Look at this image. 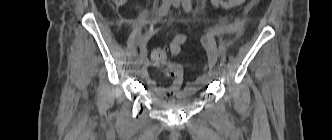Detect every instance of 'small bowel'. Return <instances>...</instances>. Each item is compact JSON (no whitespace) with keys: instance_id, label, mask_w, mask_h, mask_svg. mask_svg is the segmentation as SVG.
I'll list each match as a JSON object with an SVG mask.
<instances>
[{"instance_id":"obj_1","label":"small bowel","mask_w":332,"mask_h":140,"mask_svg":"<svg viewBox=\"0 0 332 140\" xmlns=\"http://www.w3.org/2000/svg\"><path fill=\"white\" fill-rule=\"evenodd\" d=\"M245 0H211L213 8H225L233 9L242 5ZM237 38H239L243 32V24L238 25ZM188 35L179 34L175 36L169 45V50L173 55H179L182 52V46L187 42ZM200 44L206 52V63L204 66V73L195 81L188 83L182 88L183 73L182 68L178 64H171L165 71V74L171 76L173 81L171 84L164 86L154 81L148 73L149 62L145 61L141 69V76L146 84L160 97L176 96L177 98H183L191 95L206 85L211 77L210 70L217 63L219 53L215 47L213 38L211 36H203L200 38ZM155 49L151 53V61L155 64H163L164 61H158L156 59Z\"/></svg>"}]
</instances>
